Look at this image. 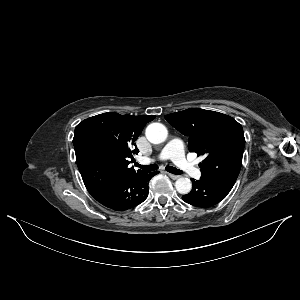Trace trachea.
<instances>
[{"label":"trachea","instance_id":"3493384b","mask_svg":"<svg viewBox=\"0 0 300 300\" xmlns=\"http://www.w3.org/2000/svg\"><path fill=\"white\" fill-rule=\"evenodd\" d=\"M135 166L141 168L142 170H145V171H154V170H157L158 169V165L157 164H150V165H141V164H138V163H135ZM166 170L172 174H175V175H180L182 174L183 172L179 169H176L175 167H172V166H166Z\"/></svg>","mask_w":300,"mask_h":300}]
</instances>
